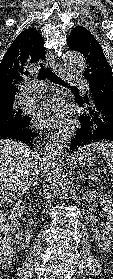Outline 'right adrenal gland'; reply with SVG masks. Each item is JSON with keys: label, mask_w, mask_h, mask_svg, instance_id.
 <instances>
[{"label": "right adrenal gland", "mask_w": 113, "mask_h": 279, "mask_svg": "<svg viewBox=\"0 0 113 279\" xmlns=\"http://www.w3.org/2000/svg\"><path fill=\"white\" fill-rule=\"evenodd\" d=\"M37 183H38V172H36L35 177H34V179H33V181H32V184H31V185L36 186V185H37Z\"/></svg>", "instance_id": "obj_1"}]
</instances>
